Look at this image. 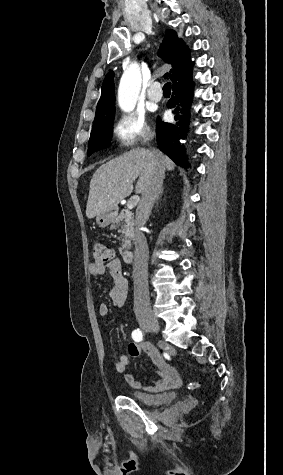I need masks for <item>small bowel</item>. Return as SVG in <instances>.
I'll list each match as a JSON object with an SVG mask.
<instances>
[{
  "instance_id": "c3829d8e",
  "label": "small bowel",
  "mask_w": 283,
  "mask_h": 475,
  "mask_svg": "<svg viewBox=\"0 0 283 475\" xmlns=\"http://www.w3.org/2000/svg\"><path fill=\"white\" fill-rule=\"evenodd\" d=\"M88 272L92 276H101L108 272L112 279V287L109 291V298L114 307H122L127 299L128 282L122 274L121 261L118 258L112 259L106 264H97L92 262L88 266ZM109 312L106 303H100L98 314L102 317L107 316ZM144 351L151 360L152 365L159 374V380L149 386V389L160 391L176 388L182 384L179 372L169 363H167L159 351L151 344L131 343L128 347V354H122L115 362L114 367L118 373L124 375L125 381L135 389L143 387L142 382L132 372H127L131 357L137 358Z\"/></svg>"
}]
</instances>
